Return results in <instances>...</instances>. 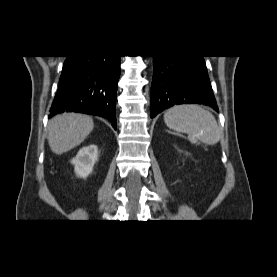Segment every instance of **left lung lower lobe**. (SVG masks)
Here are the masks:
<instances>
[{"mask_svg": "<svg viewBox=\"0 0 277 277\" xmlns=\"http://www.w3.org/2000/svg\"><path fill=\"white\" fill-rule=\"evenodd\" d=\"M151 117L177 104H204L218 111L203 56H153Z\"/></svg>", "mask_w": 277, "mask_h": 277, "instance_id": "1", "label": "left lung lower lobe"}]
</instances>
